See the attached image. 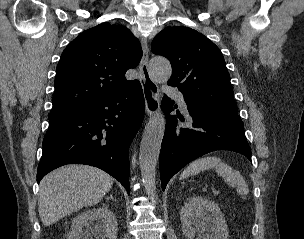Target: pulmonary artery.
<instances>
[{
    "mask_svg": "<svg viewBox=\"0 0 304 239\" xmlns=\"http://www.w3.org/2000/svg\"><path fill=\"white\" fill-rule=\"evenodd\" d=\"M164 91H165L169 96L174 97V98L177 100V102H178V104H179L181 110H182L184 113H187V112H188V108H187V104H186L185 98H184L183 94H182L180 91H178V90H176V89H173V88H171V87H165V88H164Z\"/></svg>",
    "mask_w": 304,
    "mask_h": 239,
    "instance_id": "obj_1",
    "label": "pulmonary artery"
}]
</instances>
